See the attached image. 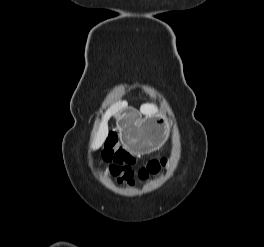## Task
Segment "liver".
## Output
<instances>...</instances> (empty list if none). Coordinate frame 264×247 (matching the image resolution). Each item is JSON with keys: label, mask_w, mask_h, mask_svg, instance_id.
I'll list each match as a JSON object with an SVG mask.
<instances>
[{"label": "liver", "mask_w": 264, "mask_h": 247, "mask_svg": "<svg viewBox=\"0 0 264 247\" xmlns=\"http://www.w3.org/2000/svg\"><path fill=\"white\" fill-rule=\"evenodd\" d=\"M126 106H127L126 101L118 102V103L114 104L111 107V109L109 110L107 116L109 114H112V113L119 111L120 109H122ZM140 110H141V113H143L145 115H153L157 112V107L155 105H152V104H144L141 106ZM107 116L104 118L103 122L100 125L98 132L95 134L94 138L92 139V142H91V149L92 150L100 148L108 136V126H107V121H106Z\"/></svg>", "instance_id": "1"}]
</instances>
